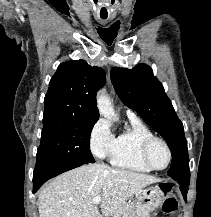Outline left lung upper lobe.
I'll return each instance as SVG.
<instances>
[{"label": "left lung upper lobe", "mask_w": 211, "mask_h": 217, "mask_svg": "<svg viewBox=\"0 0 211 217\" xmlns=\"http://www.w3.org/2000/svg\"><path fill=\"white\" fill-rule=\"evenodd\" d=\"M111 80L122 102L166 140L172 153L168 176L190 179L183 124L152 69L145 64L132 69L114 67Z\"/></svg>", "instance_id": "left-lung-upper-lobe-1"}]
</instances>
